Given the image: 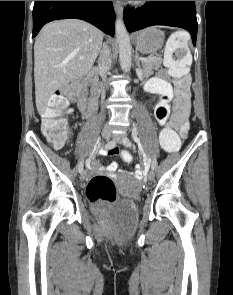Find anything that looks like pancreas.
<instances>
[{"label": "pancreas", "mask_w": 233, "mask_h": 295, "mask_svg": "<svg viewBox=\"0 0 233 295\" xmlns=\"http://www.w3.org/2000/svg\"><path fill=\"white\" fill-rule=\"evenodd\" d=\"M162 60L154 59L150 61H143L142 68L144 71V77L147 78L153 74V70H158L161 67Z\"/></svg>", "instance_id": "cf45deb5"}]
</instances>
